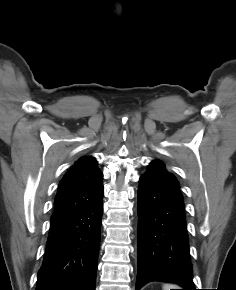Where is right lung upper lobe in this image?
<instances>
[{"label":"right lung upper lobe","instance_id":"right-lung-upper-lobe-1","mask_svg":"<svg viewBox=\"0 0 236 290\" xmlns=\"http://www.w3.org/2000/svg\"><path fill=\"white\" fill-rule=\"evenodd\" d=\"M96 162L94 157H82L64 175L55 197L51 220L91 204L103 195V174Z\"/></svg>","mask_w":236,"mask_h":290}]
</instances>
